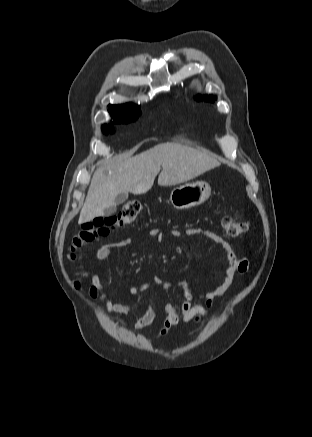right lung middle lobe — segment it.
<instances>
[{"mask_svg":"<svg viewBox=\"0 0 312 437\" xmlns=\"http://www.w3.org/2000/svg\"><path fill=\"white\" fill-rule=\"evenodd\" d=\"M138 117H134V118H129V119H121V120H117V119H113L114 123L120 124V123H129L132 121H135ZM102 130L105 134H108V132H113V127L109 126L107 127L106 125L102 127Z\"/></svg>","mask_w":312,"mask_h":437,"instance_id":"dd1d6c3e","label":"right lung middle lobe"}]
</instances>
